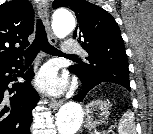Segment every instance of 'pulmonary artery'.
Instances as JSON below:
<instances>
[{"instance_id":"1","label":"pulmonary artery","mask_w":153,"mask_h":134,"mask_svg":"<svg viewBox=\"0 0 153 134\" xmlns=\"http://www.w3.org/2000/svg\"><path fill=\"white\" fill-rule=\"evenodd\" d=\"M80 51H81V47L76 41L72 39L66 40L62 47V52L64 54H76Z\"/></svg>"}]
</instances>
